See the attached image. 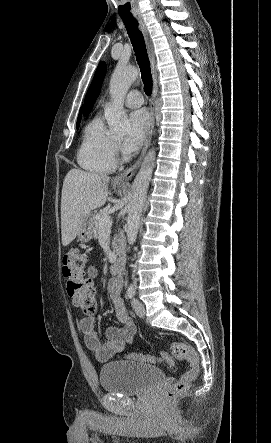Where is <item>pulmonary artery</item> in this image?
Here are the masks:
<instances>
[{
	"instance_id": "1",
	"label": "pulmonary artery",
	"mask_w": 271,
	"mask_h": 443,
	"mask_svg": "<svg viewBox=\"0 0 271 443\" xmlns=\"http://www.w3.org/2000/svg\"><path fill=\"white\" fill-rule=\"evenodd\" d=\"M123 102L131 108L140 107L144 103L142 94L137 90L130 91L123 97Z\"/></svg>"
}]
</instances>
